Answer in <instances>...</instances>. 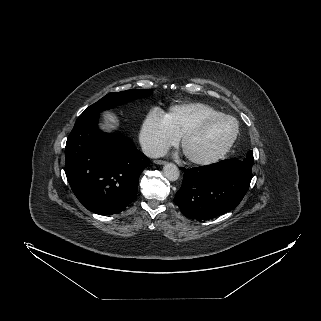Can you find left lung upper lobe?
<instances>
[{"label":"left lung upper lobe","mask_w":321,"mask_h":321,"mask_svg":"<svg viewBox=\"0 0 321 321\" xmlns=\"http://www.w3.org/2000/svg\"><path fill=\"white\" fill-rule=\"evenodd\" d=\"M253 157V153H252V151H248V153H247V157Z\"/></svg>","instance_id":"5c2ea615"}]
</instances>
